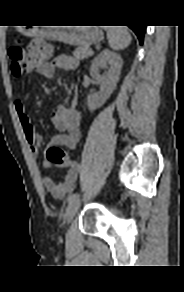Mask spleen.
<instances>
[{"mask_svg": "<svg viewBox=\"0 0 184 292\" xmlns=\"http://www.w3.org/2000/svg\"><path fill=\"white\" fill-rule=\"evenodd\" d=\"M107 32L108 43L111 49L119 51L128 47L132 37L127 28L121 26L104 27Z\"/></svg>", "mask_w": 184, "mask_h": 292, "instance_id": "1", "label": "spleen"}]
</instances>
